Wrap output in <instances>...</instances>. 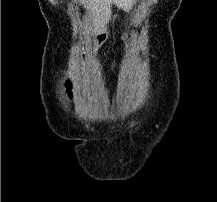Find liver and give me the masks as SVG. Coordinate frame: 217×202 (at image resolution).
I'll return each instance as SVG.
<instances>
[{
    "label": "liver",
    "mask_w": 217,
    "mask_h": 202,
    "mask_svg": "<svg viewBox=\"0 0 217 202\" xmlns=\"http://www.w3.org/2000/svg\"><path fill=\"white\" fill-rule=\"evenodd\" d=\"M80 2L84 4V8L90 10L93 30L98 34H104L107 30V24L112 20L111 4H115L126 12L131 10L133 4V0H80Z\"/></svg>",
    "instance_id": "1"
}]
</instances>
